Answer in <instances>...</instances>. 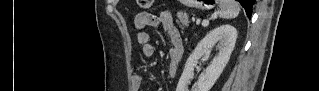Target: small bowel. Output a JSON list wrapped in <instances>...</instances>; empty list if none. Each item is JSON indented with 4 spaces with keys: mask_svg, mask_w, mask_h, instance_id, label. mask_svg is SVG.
I'll return each instance as SVG.
<instances>
[{
    "mask_svg": "<svg viewBox=\"0 0 319 91\" xmlns=\"http://www.w3.org/2000/svg\"><path fill=\"white\" fill-rule=\"evenodd\" d=\"M135 23L137 27H162L166 36L169 38L171 46L168 51V75L174 78L177 74L178 65L183 56V42L178 28L175 26L170 12L163 11L157 16L150 13H140L136 16ZM137 42L143 56L150 58L155 53V46L150 42L148 33L139 32ZM132 83L135 91H141L144 78L139 73L132 75Z\"/></svg>",
    "mask_w": 319,
    "mask_h": 91,
    "instance_id": "obj_1",
    "label": "small bowel"
}]
</instances>
